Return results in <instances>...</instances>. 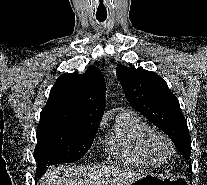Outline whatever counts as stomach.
Masks as SVG:
<instances>
[{"label":"stomach","instance_id":"0dacf381","mask_svg":"<svg viewBox=\"0 0 207 185\" xmlns=\"http://www.w3.org/2000/svg\"><path fill=\"white\" fill-rule=\"evenodd\" d=\"M132 185H187V183L183 176L161 177L149 174L135 180Z\"/></svg>","mask_w":207,"mask_h":185}]
</instances>
